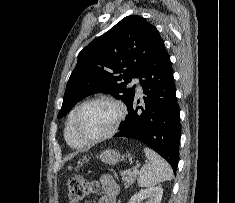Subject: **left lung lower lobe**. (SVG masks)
I'll return each mask as SVG.
<instances>
[{"label":"left lung lower lobe","instance_id":"left-lung-lower-lobe-1","mask_svg":"<svg viewBox=\"0 0 235 203\" xmlns=\"http://www.w3.org/2000/svg\"><path fill=\"white\" fill-rule=\"evenodd\" d=\"M139 77L144 106H137L140 100L132 99L127 106L129 114L115 137L145 143L166 159L176 173L181 136L179 106L170 58L162 39Z\"/></svg>","mask_w":235,"mask_h":203}]
</instances>
